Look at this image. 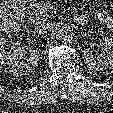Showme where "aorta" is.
Returning a JSON list of instances; mask_svg holds the SVG:
<instances>
[{"label": "aorta", "instance_id": "762f6f07", "mask_svg": "<svg viewBox=\"0 0 113 113\" xmlns=\"http://www.w3.org/2000/svg\"><path fill=\"white\" fill-rule=\"evenodd\" d=\"M74 36L73 29L69 26H62L57 32V39L62 42H69Z\"/></svg>", "mask_w": 113, "mask_h": 113}]
</instances>
